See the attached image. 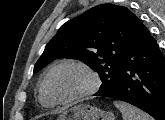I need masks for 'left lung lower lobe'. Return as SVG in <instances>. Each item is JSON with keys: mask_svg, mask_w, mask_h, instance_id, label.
Here are the masks:
<instances>
[{"mask_svg": "<svg viewBox=\"0 0 165 120\" xmlns=\"http://www.w3.org/2000/svg\"><path fill=\"white\" fill-rule=\"evenodd\" d=\"M104 97L165 120V57L147 28L125 55L119 85Z\"/></svg>", "mask_w": 165, "mask_h": 120, "instance_id": "left-lung-lower-lobe-1", "label": "left lung lower lobe"}]
</instances>
